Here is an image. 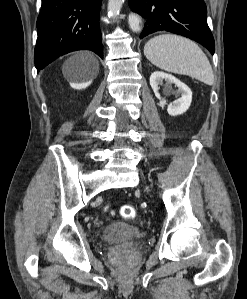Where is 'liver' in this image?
I'll return each instance as SVG.
<instances>
[{"instance_id": "6515ba94", "label": "liver", "mask_w": 247, "mask_h": 299, "mask_svg": "<svg viewBox=\"0 0 247 299\" xmlns=\"http://www.w3.org/2000/svg\"><path fill=\"white\" fill-rule=\"evenodd\" d=\"M70 64L83 65L89 72L90 77H95L99 71V63L96 57L89 52L77 53L67 62V66Z\"/></svg>"}]
</instances>
